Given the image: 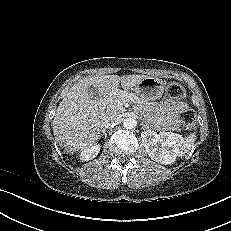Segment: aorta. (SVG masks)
<instances>
[{
    "label": "aorta",
    "mask_w": 231,
    "mask_h": 231,
    "mask_svg": "<svg viewBox=\"0 0 231 231\" xmlns=\"http://www.w3.org/2000/svg\"><path fill=\"white\" fill-rule=\"evenodd\" d=\"M123 126L126 129H132L136 126V122L133 118H125L123 121Z\"/></svg>",
    "instance_id": "762f6f07"
}]
</instances>
